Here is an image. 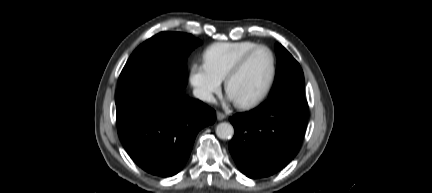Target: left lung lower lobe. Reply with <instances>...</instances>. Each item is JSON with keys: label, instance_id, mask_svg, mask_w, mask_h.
<instances>
[{"label": "left lung lower lobe", "instance_id": "0a47b994", "mask_svg": "<svg viewBox=\"0 0 432 193\" xmlns=\"http://www.w3.org/2000/svg\"><path fill=\"white\" fill-rule=\"evenodd\" d=\"M307 118V101L297 97L269 98L230 117L235 134L229 150L240 171L261 178L285 167L299 151Z\"/></svg>", "mask_w": 432, "mask_h": 193}]
</instances>
